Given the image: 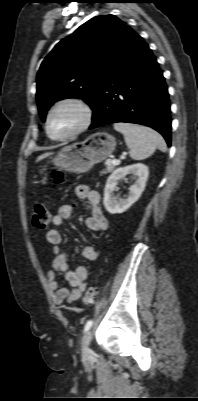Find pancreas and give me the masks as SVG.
Returning <instances> with one entry per match:
<instances>
[{"instance_id":"pancreas-1","label":"pancreas","mask_w":198,"mask_h":401,"mask_svg":"<svg viewBox=\"0 0 198 401\" xmlns=\"http://www.w3.org/2000/svg\"><path fill=\"white\" fill-rule=\"evenodd\" d=\"M114 168H115V165L113 163H111V164L106 163V169L101 172V175L111 173L114 170Z\"/></svg>"}]
</instances>
